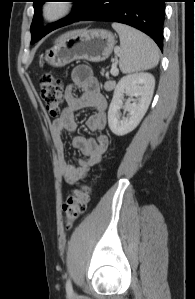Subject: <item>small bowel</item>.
I'll return each instance as SVG.
<instances>
[{
  "instance_id": "c3829d8e",
  "label": "small bowel",
  "mask_w": 195,
  "mask_h": 299,
  "mask_svg": "<svg viewBox=\"0 0 195 299\" xmlns=\"http://www.w3.org/2000/svg\"><path fill=\"white\" fill-rule=\"evenodd\" d=\"M72 82L65 89V106L59 118L51 123V131L55 145L62 159L61 173L68 184H76L83 180L91 167L99 164L107 151L109 141L101 132L106 127L107 100L102 94L99 82L88 67H76L71 74ZM75 88L81 90L75 94ZM83 108H91L94 112L86 119V127L98 135L95 138L75 136L72 145L85 155V159L72 165L65 160L64 132H74L77 124L74 113Z\"/></svg>"
}]
</instances>
